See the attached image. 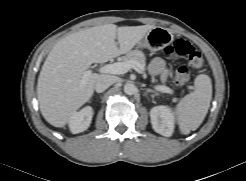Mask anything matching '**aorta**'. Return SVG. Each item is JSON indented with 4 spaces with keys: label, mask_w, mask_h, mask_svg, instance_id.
Here are the masks:
<instances>
[{
    "label": "aorta",
    "mask_w": 246,
    "mask_h": 181,
    "mask_svg": "<svg viewBox=\"0 0 246 181\" xmlns=\"http://www.w3.org/2000/svg\"><path fill=\"white\" fill-rule=\"evenodd\" d=\"M137 91L136 86L133 83H126L124 85V92L128 95H133Z\"/></svg>",
    "instance_id": "762f6f07"
}]
</instances>
